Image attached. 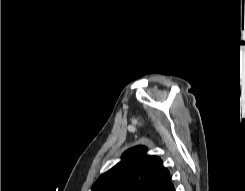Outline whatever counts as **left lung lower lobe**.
<instances>
[{
    "label": "left lung lower lobe",
    "instance_id": "obj_1",
    "mask_svg": "<svg viewBox=\"0 0 245 191\" xmlns=\"http://www.w3.org/2000/svg\"><path fill=\"white\" fill-rule=\"evenodd\" d=\"M160 191H175V187L172 181L167 183Z\"/></svg>",
    "mask_w": 245,
    "mask_h": 191
}]
</instances>
